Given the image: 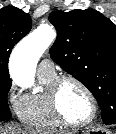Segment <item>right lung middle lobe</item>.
I'll list each match as a JSON object with an SVG mask.
<instances>
[{
  "label": "right lung middle lobe",
  "mask_w": 116,
  "mask_h": 134,
  "mask_svg": "<svg viewBox=\"0 0 116 134\" xmlns=\"http://www.w3.org/2000/svg\"><path fill=\"white\" fill-rule=\"evenodd\" d=\"M11 85L12 81L10 79H0V119H8L11 117L7 102V95Z\"/></svg>",
  "instance_id": "obj_1"
}]
</instances>
